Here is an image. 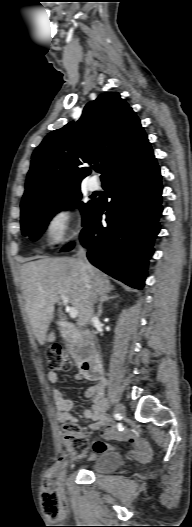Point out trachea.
<instances>
[{
  "label": "trachea",
  "mask_w": 192,
  "mask_h": 527,
  "mask_svg": "<svg viewBox=\"0 0 192 527\" xmlns=\"http://www.w3.org/2000/svg\"><path fill=\"white\" fill-rule=\"evenodd\" d=\"M99 170H100L99 168L96 169L97 172H98Z\"/></svg>",
  "instance_id": "1"
}]
</instances>
